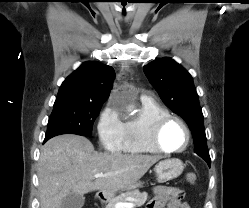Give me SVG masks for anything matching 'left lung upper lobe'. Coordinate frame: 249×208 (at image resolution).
<instances>
[{
  "mask_svg": "<svg viewBox=\"0 0 249 208\" xmlns=\"http://www.w3.org/2000/svg\"><path fill=\"white\" fill-rule=\"evenodd\" d=\"M144 72L164 104L186 121L193 133L194 152L210 165L203 114L191 75L166 57L144 66Z\"/></svg>",
  "mask_w": 249,
  "mask_h": 208,
  "instance_id": "left-lung-upper-lobe-1",
  "label": "left lung upper lobe"
}]
</instances>
